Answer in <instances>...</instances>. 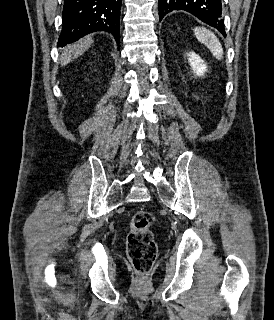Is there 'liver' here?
<instances>
[{"instance_id":"1","label":"liver","mask_w":274,"mask_h":320,"mask_svg":"<svg viewBox=\"0 0 274 320\" xmlns=\"http://www.w3.org/2000/svg\"><path fill=\"white\" fill-rule=\"evenodd\" d=\"M91 44H93L92 36H85V38H81L75 44H69L66 48H62L63 54H61V64L62 66H66V64H70L73 60H77L79 56H82L84 52L89 50Z\"/></svg>"}]
</instances>
